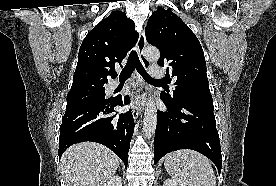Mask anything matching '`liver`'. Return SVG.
<instances>
[{"instance_id":"6515ba94","label":"liver","mask_w":276,"mask_h":186,"mask_svg":"<svg viewBox=\"0 0 276 186\" xmlns=\"http://www.w3.org/2000/svg\"><path fill=\"white\" fill-rule=\"evenodd\" d=\"M118 156L107 147L83 142L69 147L61 158L66 186H103L115 174Z\"/></svg>"}]
</instances>
